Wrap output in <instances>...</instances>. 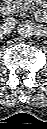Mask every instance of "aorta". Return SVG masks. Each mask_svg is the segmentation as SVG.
I'll use <instances>...</instances> for the list:
<instances>
[{
	"label": "aorta",
	"mask_w": 47,
	"mask_h": 129,
	"mask_svg": "<svg viewBox=\"0 0 47 129\" xmlns=\"http://www.w3.org/2000/svg\"><path fill=\"white\" fill-rule=\"evenodd\" d=\"M35 30L34 23L28 20L20 22L17 27L19 35L26 38L32 37L35 34Z\"/></svg>",
	"instance_id": "1"
}]
</instances>
